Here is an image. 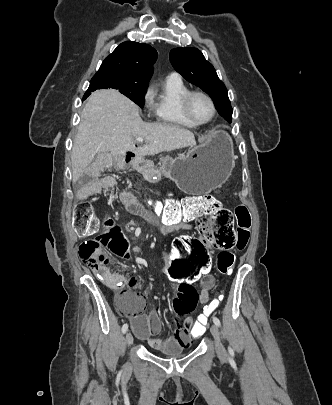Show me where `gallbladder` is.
<instances>
[{"mask_svg": "<svg viewBox=\"0 0 332 405\" xmlns=\"http://www.w3.org/2000/svg\"><path fill=\"white\" fill-rule=\"evenodd\" d=\"M102 155H103L102 153L98 154L97 159L102 157Z\"/></svg>", "mask_w": 332, "mask_h": 405, "instance_id": "bac80fb5", "label": "gallbladder"}]
</instances>
